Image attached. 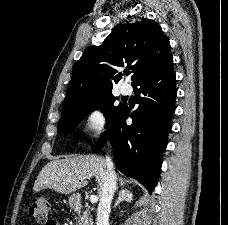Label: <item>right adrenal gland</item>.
<instances>
[{"mask_svg":"<svg viewBox=\"0 0 228 225\" xmlns=\"http://www.w3.org/2000/svg\"><path fill=\"white\" fill-rule=\"evenodd\" d=\"M122 201H127V203H132L133 199H132L131 191H127V189H121V191H119L118 199L113 209H116V207H118V205H120Z\"/></svg>","mask_w":228,"mask_h":225,"instance_id":"1","label":"right adrenal gland"}]
</instances>
